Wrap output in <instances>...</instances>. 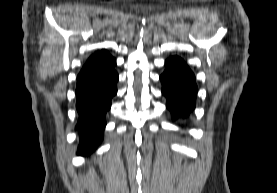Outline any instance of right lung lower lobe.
<instances>
[{"instance_id": "obj_1", "label": "right lung lower lobe", "mask_w": 277, "mask_h": 193, "mask_svg": "<svg viewBox=\"0 0 277 193\" xmlns=\"http://www.w3.org/2000/svg\"><path fill=\"white\" fill-rule=\"evenodd\" d=\"M115 64V59L104 50L91 56L77 76L78 155L91 154L102 141L105 114L111 107V98L117 93Z\"/></svg>"}]
</instances>
